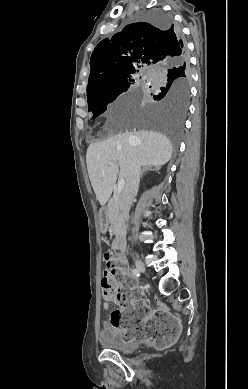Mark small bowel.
Here are the masks:
<instances>
[{"label":"small bowel","instance_id":"c3829d8e","mask_svg":"<svg viewBox=\"0 0 248 389\" xmlns=\"http://www.w3.org/2000/svg\"><path fill=\"white\" fill-rule=\"evenodd\" d=\"M118 303H119V301H117L115 299L105 298V301L103 303V308L105 310H108L110 308L111 304H118ZM160 309H165V305L160 304ZM103 326L105 329H109L110 324H109V322H104Z\"/></svg>","mask_w":248,"mask_h":389}]
</instances>
